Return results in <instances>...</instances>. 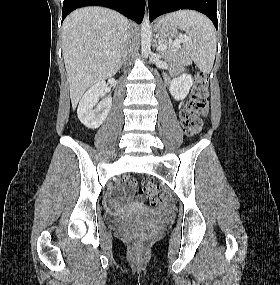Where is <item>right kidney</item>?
I'll return each instance as SVG.
<instances>
[{
    "mask_svg": "<svg viewBox=\"0 0 280 285\" xmlns=\"http://www.w3.org/2000/svg\"><path fill=\"white\" fill-rule=\"evenodd\" d=\"M114 82L113 78L108 80L110 84H114ZM106 88L105 81L96 83L86 91L79 102L77 115L81 123L87 128L96 129L100 127L111 110L112 98L110 96L98 103L105 94Z\"/></svg>",
    "mask_w": 280,
    "mask_h": 285,
    "instance_id": "ca27d5eb",
    "label": "right kidney"
}]
</instances>
